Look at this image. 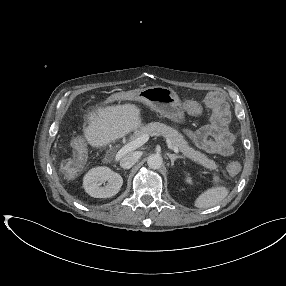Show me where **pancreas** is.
<instances>
[{
  "label": "pancreas",
  "instance_id": "obj_1",
  "mask_svg": "<svg viewBox=\"0 0 286 286\" xmlns=\"http://www.w3.org/2000/svg\"><path fill=\"white\" fill-rule=\"evenodd\" d=\"M143 134L161 135L167 138L172 144V146L177 147L185 157L191 159L197 164L204 166L205 168L218 171L217 164L215 163V161L208 159L205 154H202L201 152L194 150L192 147H190L188 145V142L185 141L184 137L177 130L167 126L166 124L160 122L149 123L148 125L141 127L139 130H136L133 135V138H137ZM213 182H219V177L217 174H214Z\"/></svg>",
  "mask_w": 286,
  "mask_h": 286
}]
</instances>
